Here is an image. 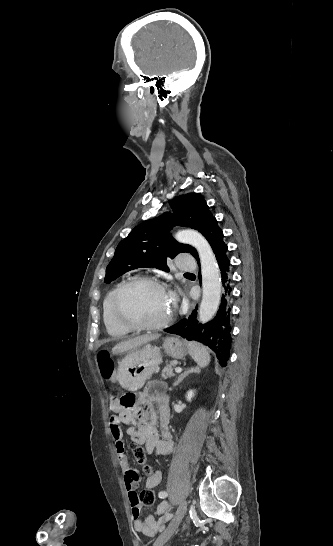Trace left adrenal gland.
Wrapping results in <instances>:
<instances>
[{
    "instance_id": "1",
    "label": "left adrenal gland",
    "mask_w": 333,
    "mask_h": 546,
    "mask_svg": "<svg viewBox=\"0 0 333 546\" xmlns=\"http://www.w3.org/2000/svg\"><path fill=\"white\" fill-rule=\"evenodd\" d=\"M193 372L199 373V370H197L196 368H191V369L185 371L183 374H181V375L178 377L177 381L174 383L173 386H174V387L178 386V385L182 382V380H183L188 374L193 373Z\"/></svg>"
}]
</instances>
